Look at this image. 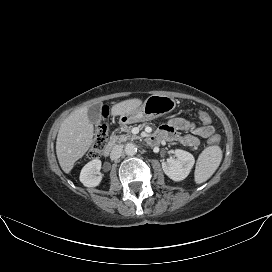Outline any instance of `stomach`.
<instances>
[{
    "label": "stomach",
    "mask_w": 272,
    "mask_h": 272,
    "mask_svg": "<svg viewBox=\"0 0 272 272\" xmlns=\"http://www.w3.org/2000/svg\"><path fill=\"white\" fill-rule=\"evenodd\" d=\"M176 107V100L166 95H151L136 109L122 114L119 119L121 125L153 120L168 114Z\"/></svg>",
    "instance_id": "stomach-1"
}]
</instances>
